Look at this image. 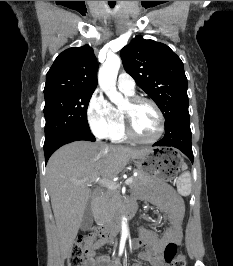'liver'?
<instances>
[{
    "label": "liver",
    "instance_id": "obj_1",
    "mask_svg": "<svg viewBox=\"0 0 233 266\" xmlns=\"http://www.w3.org/2000/svg\"><path fill=\"white\" fill-rule=\"evenodd\" d=\"M149 149H132L102 142L75 141L58 149L47 164V179L56 221L61 264L69 255L90 197L93 177L111 180ZM88 179L83 183L75 181ZM62 266V265H61Z\"/></svg>",
    "mask_w": 233,
    "mask_h": 266
}]
</instances>
